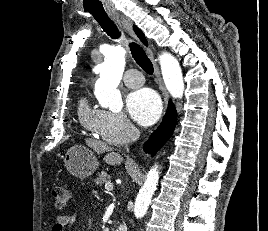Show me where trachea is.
Segmentation results:
<instances>
[{"mask_svg":"<svg viewBox=\"0 0 268 231\" xmlns=\"http://www.w3.org/2000/svg\"><path fill=\"white\" fill-rule=\"evenodd\" d=\"M102 29L110 36L112 39H118L121 36V32L118 30L117 26L114 22L109 19H96ZM130 51L132 57L136 61V63L147 73L152 75L153 74V64L150 59L145 54L142 47H140L135 42L129 43Z\"/></svg>","mask_w":268,"mask_h":231,"instance_id":"1","label":"trachea"}]
</instances>
